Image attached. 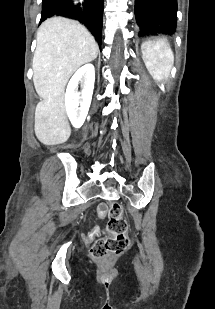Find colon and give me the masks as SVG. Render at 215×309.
<instances>
[{
	"label": "colon",
	"mask_w": 215,
	"mask_h": 309,
	"mask_svg": "<svg viewBox=\"0 0 215 309\" xmlns=\"http://www.w3.org/2000/svg\"><path fill=\"white\" fill-rule=\"evenodd\" d=\"M108 230L111 236L99 239L92 247V255L105 261L113 255L126 251L129 247V240L124 235L127 222L118 207H111L109 210Z\"/></svg>",
	"instance_id": "colon-1"
}]
</instances>
